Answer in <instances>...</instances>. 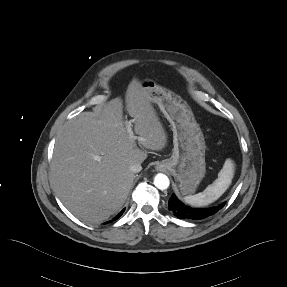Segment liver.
<instances>
[{
    "mask_svg": "<svg viewBox=\"0 0 287 287\" xmlns=\"http://www.w3.org/2000/svg\"><path fill=\"white\" fill-rule=\"evenodd\" d=\"M125 102L142 149L129 137L120 99L68 121L55 142L54 190L65 207L87 223H101L119 211L135 177L130 166L147 158L144 148L158 151L167 144L166 132L137 79L128 85Z\"/></svg>",
    "mask_w": 287,
    "mask_h": 287,
    "instance_id": "6515ba94",
    "label": "liver"
}]
</instances>
